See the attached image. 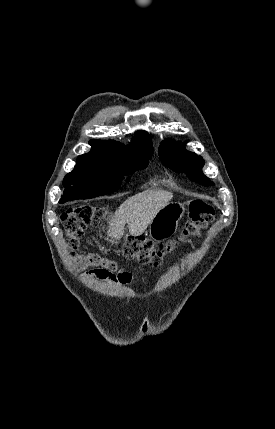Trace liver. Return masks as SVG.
Returning a JSON list of instances; mask_svg holds the SVG:
<instances>
[{
  "label": "liver",
  "mask_w": 275,
  "mask_h": 429,
  "mask_svg": "<svg viewBox=\"0 0 275 429\" xmlns=\"http://www.w3.org/2000/svg\"><path fill=\"white\" fill-rule=\"evenodd\" d=\"M173 198V193L164 190H147L123 202L109 223L108 236L112 244L117 243L127 224L129 233L140 236L154 216ZM116 241V242H115Z\"/></svg>",
  "instance_id": "6515ba94"
}]
</instances>
